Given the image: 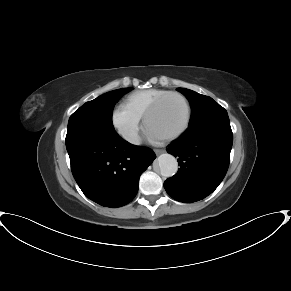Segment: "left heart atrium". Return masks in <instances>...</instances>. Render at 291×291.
I'll return each mask as SVG.
<instances>
[{"mask_svg": "<svg viewBox=\"0 0 291 291\" xmlns=\"http://www.w3.org/2000/svg\"><path fill=\"white\" fill-rule=\"evenodd\" d=\"M147 135L152 140H158V139H160V137L158 135H156L154 132H152L149 129L147 130Z\"/></svg>", "mask_w": 291, "mask_h": 291, "instance_id": "39dd6f15", "label": "left heart atrium"}]
</instances>
